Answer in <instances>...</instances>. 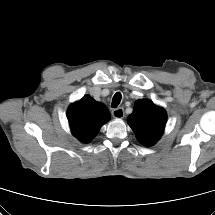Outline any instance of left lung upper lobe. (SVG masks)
<instances>
[{
  "mask_svg": "<svg viewBox=\"0 0 215 215\" xmlns=\"http://www.w3.org/2000/svg\"><path fill=\"white\" fill-rule=\"evenodd\" d=\"M166 112L148 99L138 100L128 117V124L144 146L154 145L164 132Z\"/></svg>",
  "mask_w": 215,
  "mask_h": 215,
  "instance_id": "1",
  "label": "left lung upper lobe"
}]
</instances>
